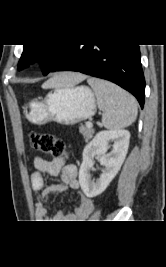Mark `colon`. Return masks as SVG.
Masks as SVG:
<instances>
[{
	"instance_id": "5ec220e1",
	"label": "colon",
	"mask_w": 166,
	"mask_h": 267,
	"mask_svg": "<svg viewBox=\"0 0 166 267\" xmlns=\"http://www.w3.org/2000/svg\"><path fill=\"white\" fill-rule=\"evenodd\" d=\"M30 146L33 150L49 153L56 158L69 155L63 141L56 139L51 134H42L34 131L29 132Z\"/></svg>"
}]
</instances>
